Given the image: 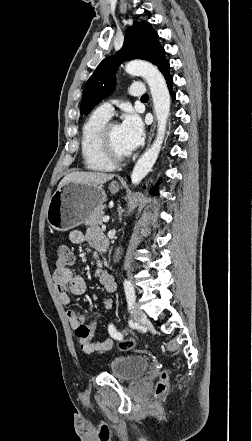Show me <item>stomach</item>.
<instances>
[{
  "instance_id": "1",
  "label": "stomach",
  "mask_w": 252,
  "mask_h": 441,
  "mask_svg": "<svg viewBox=\"0 0 252 441\" xmlns=\"http://www.w3.org/2000/svg\"><path fill=\"white\" fill-rule=\"evenodd\" d=\"M112 194L119 191V185H109ZM106 201L101 185H87L69 182L58 187L52 195L46 213L48 225L56 231H67L84 222Z\"/></svg>"
}]
</instances>
